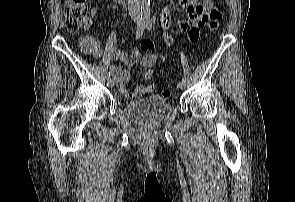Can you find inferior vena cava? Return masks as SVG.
<instances>
[{"mask_svg":"<svg viewBox=\"0 0 295 202\" xmlns=\"http://www.w3.org/2000/svg\"><path fill=\"white\" fill-rule=\"evenodd\" d=\"M128 10L129 15L132 19L137 20L140 18V8L138 5V0H128Z\"/></svg>","mask_w":295,"mask_h":202,"instance_id":"obj_1","label":"inferior vena cava"}]
</instances>
